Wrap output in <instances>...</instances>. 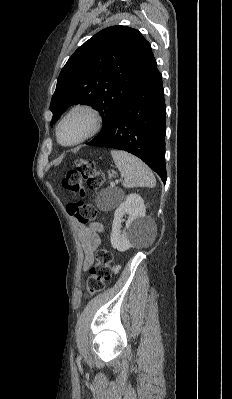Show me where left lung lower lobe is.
I'll use <instances>...</instances> for the list:
<instances>
[{
    "instance_id": "left-lung-lower-lobe-1",
    "label": "left lung lower lobe",
    "mask_w": 232,
    "mask_h": 399,
    "mask_svg": "<svg viewBox=\"0 0 232 399\" xmlns=\"http://www.w3.org/2000/svg\"><path fill=\"white\" fill-rule=\"evenodd\" d=\"M166 105L162 75L150 50L112 126L88 145L127 151L143 160L165 183Z\"/></svg>"
}]
</instances>
